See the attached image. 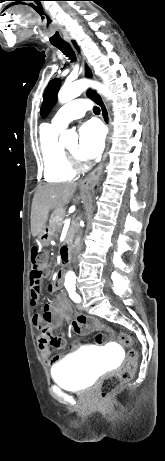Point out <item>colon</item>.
<instances>
[{
  "instance_id": "obj_1",
  "label": "colon",
  "mask_w": 165,
  "mask_h": 461,
  "mask_svg": "<svg viewBox=\"0 0 165 461\" xmlns=\"http://www.w3.org/2000/svg\"><path fill=\"white\" fill-rule=\"evenodd\" d=\"M32 270L30 279L39 284L48 264L47 254L39 247L32 249L31 255ZM119 341L128 347L127 364L114 374L105 376L99 386V396L102 400L110 398L115 392L120 390L133 376L138 362V351L133 347V341L127 333L119 334Z\"/></svg>"
}]
</instances>
